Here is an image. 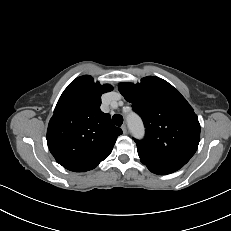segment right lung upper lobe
<instances>
[{"instance_id": "1", "label": "right lung upper lobe", "mask_w": 231, "mask_h": 231, "mask_svg": "<svg viewBox=\"0 0 231 231\" xmlns=\"http://www.w3.org/2000/svg\"><path fill=\"white\" fill-rule=\"evenodd\" d=\"M113 87L89 75L73 80L62 93L47 130L56 161L74 172L94 169L112 151L122 130L100 110L101 95Z\"/></svg>"}]
</instances>
